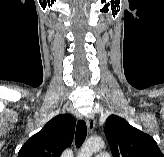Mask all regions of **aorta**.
Returning a JSON list of instances; mask_svg holds the SVG:
<instances>
[{"label":"aorta","instance_id":"obj_1","mask_svg":"<svg viewBox=\"0 0 164 157\" xmlns=\"http://www.w3.org/2000/svg\"><path fill=\"white\" fill-rule=\"evenodd\" d=\"M104 148V142L102 140L93 139L86 142L80 152L79 157H91L94 153Z\"/></svg>","mask_w":164,"mask_h":157}]
</instances>
